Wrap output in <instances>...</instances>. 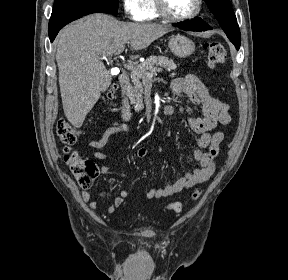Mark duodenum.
<instances>
[{"mask_svg":"<svg viewBox=\"0 0 288 280\" xmlns=\"http://www.w3.org/2000/svg\"><path fill=\"white\" fill-rule=\"evenodd\" d=\"M119 82L121 85V115L124 120L130 119V108L126 93L130 86V77L127 73H122L119 77Z\"/></svg>","mask_w":288,"mask_h":280,"instance_id":"410a0bca","label":"duodenum"}]
</instances>
